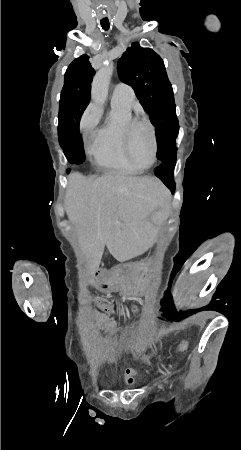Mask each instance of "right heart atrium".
I'll return each instance as SVG.
<instances>
[{
	"label": "right heart atrium",
	"mask_w": 241,
	"mask_h": 450,
	"mask_svg": "<svg viewBox=\"0 0 241 450\" xmlns=\"http://www.w3.org/2000/svg\"><path fill=\"white\" fill-rule=\"evenodd\" d=\"M100 123V116H87V118L84 119L83 128L84 130H97Z\"/></svg>",
	"instance_id": "1"
}]
</instances>
